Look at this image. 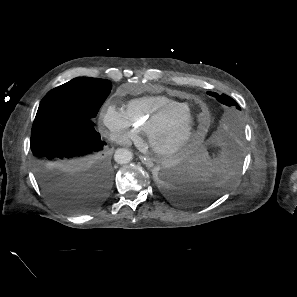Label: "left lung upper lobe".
<instances>
[{
  "instance_id": "1",
  "label": "left lung upper lobe",
  "mask_w": 297,
  "mask_h": 297,
  "mask_svg": "<svg viewBox=\"0 0 297 297\" xmlns=\"http://www.w3.org/2000/svg\"><path fill=\"white\" fill-rule=\"evenodd\" d=\"M208 94L210 96L215 97L220 103L228 106V107H236L237 109L240 110V107L237 105L236 101L233 100L232 98H230L229 96L222 94V95H218L217 93L214 92H208ZM222 129H227V130H231L233 133H238V120H237V116L235 114V112L233 111H229L226 116L225 119L223 121L222 124Z\"/></svg>"
}]
</instances>
